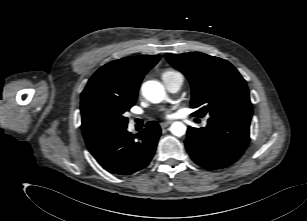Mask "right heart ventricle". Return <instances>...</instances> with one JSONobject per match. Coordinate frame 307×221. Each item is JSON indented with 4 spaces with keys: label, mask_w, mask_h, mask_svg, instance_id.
I'll list each match as a JSON object with an SVG mask.
<instances>
[{
    "label": "right heart ventricle",
    "mask_w": 307,
    "mask_h": 221,
    "mask_svg": "<svg viewBox=\"0 0 307 221\" xmlns=\"http://www.w3.org/2000/svg\"><path fill=\"white\" fill-rule=\"evenodd\" d=\"M177 74H180V73L175 70H166L162 73V79L164 80L165 77H171Z\"/></svg>",
    "instance_id": "obj_1"
}]
</instances>
